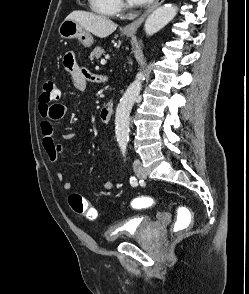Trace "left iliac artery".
I'll return each mask as SVG.
<instances>
[{"mask_svg":"<svg viewBox=\"0 0 249 294\" xmlns=\"http://www.w3.org/2000/svg\"><path fill=\"white\" fill-rule=\"evenodd\" d=\"M121 151H122L123 156H125L126 155V151H127L126 145L121 146ZM130 184L132 186H136L137 185V180H136L135 177H133V176L130 177Z\"/></svg>","mask_w":249,"mask_h":294,"instance_id":"obj_1","label":"left iliac artery"}]
</instances>
